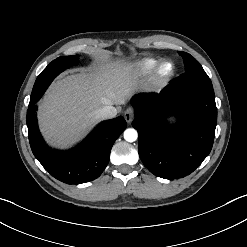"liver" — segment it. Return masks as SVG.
<instances>
[{
	"instance_id": "1",
	"label": "liver",
	"mask_w": 247,
	"mask_h": 247,
	"mask_svg": "<svg viewBox=\"0 0 247 247\" xmlns=\"http://www.w3.org/2000/svg\"><path fill=\"white\" fill-rule=\"evenodd\" d=\"M126 62H106L54 82L39 105L40 130L48 143L67 148L100 120L106 105L120 106L138 88Z\"/></svg>"
}]
</instances>
